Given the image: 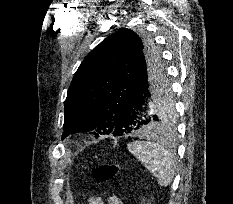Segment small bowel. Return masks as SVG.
I'll return each instance as SVG.
<instances>
[{"label":"small bowel","instance_id":"c3829d8e","mask_svg":"<svg viewBox=\"0 0 233 204\" xmlns=\"http://www.w3.org/2000/svg\"><path fill=\"white\" fill-rule=\"evenodd\" d=\"M108 204H123V202L117 196H110L108 199ZM89 204H105L100 198L98 197H91L89 199Z\"/></svg>","mask_w":233,"mask_h":204}]
</instances>
